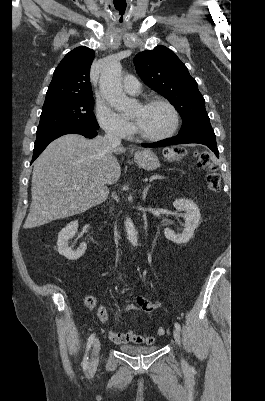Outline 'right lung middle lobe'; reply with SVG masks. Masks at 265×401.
I'll list each match as a JSON object with an SVG mask.
<instances>
[{"instance_id": "dd1d6c3e", "label": "right lung middle lobe", "mask_w": 265, "mask_h": 401, "mask_svg": "<svg viewBox=\"0 0 265 401\" xmlns=\"http://www.w3.org/2000/svg\"><path fill=\"white\" fill-rule=\"evenodd\" d=\"M94 98L78 97L43 105L37 134L57 127H78L98 130L93 113Z\"/></svg>"}]
</instances>
